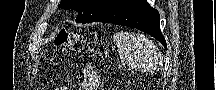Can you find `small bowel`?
Instances as JSON below:
<instances>
[{
  "label": "small bowel",
  "mask_w": 216,
  "mask_h": 90,
  "mask_svg": "<svg viewBox=\"0 0 216 90\" xmlns=\"http://www.w3.org/2000/svg\"><path fill=\"white\" fill-rule=\"evenodd\" d=\"M99 75L92 67H87L83 72L82 89L83 90H96L99 84ZM55 90H71L68 84L60 85Z\"/></svg>",
  "instance_id": "small-bowel-1"
}]
</instances>
